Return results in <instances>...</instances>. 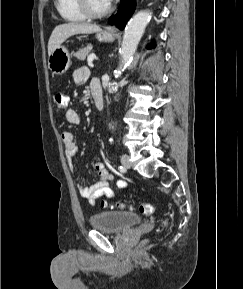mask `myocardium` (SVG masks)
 <instances>
[{"label": "myocardium", "mask_w": 243, "mask_h": 289, "mask_svg": "<svg viewBox=\"0 0 243 289\" xmlns=\"http://www.w3.org/2000/svg\"><path fill=\"white\" fill-rule=\"evenodd\" d=\"M78 5L82 13L91 19L101 18L106 16L111 11V5L109 4L104 10L95 11L91 8L89 0H77Z\"/></svg>", "instance_id": "obj_1"}]
</instances>
